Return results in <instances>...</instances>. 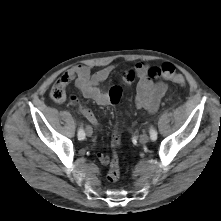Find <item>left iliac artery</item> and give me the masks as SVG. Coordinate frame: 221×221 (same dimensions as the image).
Here are the masks:
<instances>
[{"mask_svg":"<svg viewBox=\"0 0 221 221\" xmlns=\"http://www.w3.org/2000/svg\"><path fill=\"white\" fill-rule=\"evenodd\" d=\"M150 138L153 141L157 139V131L153 127L150 128Z\"/></svg>","mask_w":221,"mask_h":221,"instance_id":"obj_1","label":"left iliac artery"}]
</instances>
